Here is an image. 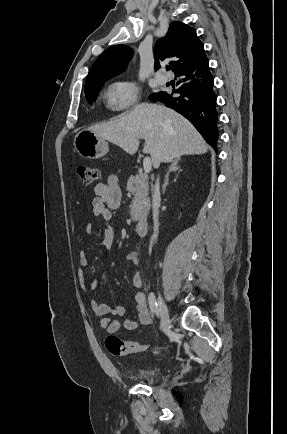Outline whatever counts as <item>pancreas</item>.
<instances>
[{
    "label": "pancreas",
    "instance_id": "cf45deb5",
    "mask_svg": "<svg viewBox=\"0 0 287 434\" xmlns=\"http://www.w3.org/2000/svg\"><path fill=\"white\" fill-rule=\"evenodd\" d=\"M126 190L133 195L130 205V215L133 221H138L147 216L150 210V198L148 194V179L144 174L130 176Z\"/></svg>",
    "mask_w": 287,
    "mask_h": 434
}]
</instances>
